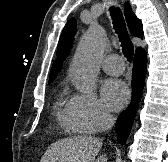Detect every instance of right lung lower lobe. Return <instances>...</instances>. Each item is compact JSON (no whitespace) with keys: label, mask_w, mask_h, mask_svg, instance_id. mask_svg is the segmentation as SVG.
Wrapping results in <instances>:
<instances>
[{"label":"right lung lower lobe","mask_w":168,"mask_h":162,"mask_svg":"<svg viewBox=\"0 0 168 162\" xmlns=\"http://www.w3.org/2000/svg\"><path fill=\"white\" fill-rule=\"evenodd\" d=\"M146 67L147 57L145 51L143 49L136 51L132 75V102L120 115L116 123L117 139L123 145L126 143L130 134L138 104L142 96Z\"/></svg>","instance_id":"98d812e1"}]
</instances>
